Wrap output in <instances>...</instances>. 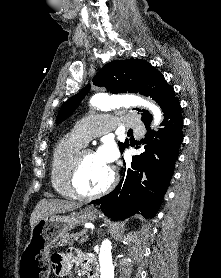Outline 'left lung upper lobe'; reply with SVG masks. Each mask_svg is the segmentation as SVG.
I'll list each match as a JSON object with an SVG mask.
<instances>
[{
  "label": "left lung upper lobe",
  "instance_id": "1",
  "mask_svg": "<svg viewBox=\"0 0 221 278\" xmlns=\"http://www.w3.org/2000/svg\"><path fill=\"white\" fill-rule=\"evenodd\" d=\"M96 86L106 87L111 93H140L156 100L163 112L177 100L173 88L164 76L145 60L127 59L107 63L92 79ZM90 89L88 84L80 93L67 100L61 107L56 123H61L78 107ZM143 122H151L152 116L145 110L138 109ZM121 152L129 146L126 140L119 143Z\"/></svg>",
  "mask_w": 221,
  "mask_h": 278
}]
</instances>
